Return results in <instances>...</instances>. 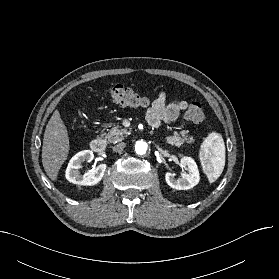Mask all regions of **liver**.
I'll return each instance as SVG.
<instances>
[{
    "label": "liver",
    "instance_id": "liver-1",
    "mask_svg": "<svg viewBox=\"0 0 279 279\" xmlns=\"http://www.w3.org/2000/svg\"><path fill=\"white\" fill-rule=\"evenodd\" d=\"M70 149L68 132L58 110L46 125L42 146V164L48 177L56 181Z\"/></svg>",
    "mask_w": 279,
    "mask_h": 279
}]
</instances>
